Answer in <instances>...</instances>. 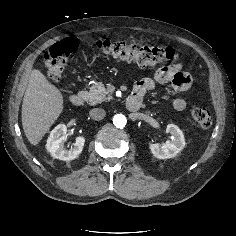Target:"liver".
Masks as SVG:
<instances>
[{
    "instance_id": "1",
    "label": "liver",
    "mask_w": 236,
    "mask_h": 236,
    "mask_svg": "<svg viewBox=\"0 0 236 236\" xmlns=\"http://www.w3.org/2000/svg\"><path fill=\"white\" fill-rule=\"evenodd\" d=\"M63 96L34 69L22 103V126L28 141L37 145L63 111Z\"/></svg>"
}]
</instances>
